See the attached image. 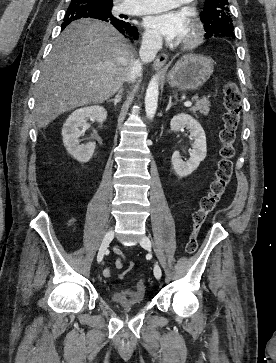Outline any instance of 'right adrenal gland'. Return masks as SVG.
<instances>
[{"mask_svg": "<svg viewBox=\"0 0 276 363\" xmlns=\"http://www.w3.org/2000/svg\"><path fill=\"white\" fill-rule=\"evenodd\" d=\"M123 89H120L118 93L116 94L114 99H109L107 102H114V105L117 106V104L121 101L122 98Z\"/></svg>", "mask_w": 276, "mask_h": 363, "instance_id": "2a0ac1e0", "label": "right adrenal gland"}]
</instances>
